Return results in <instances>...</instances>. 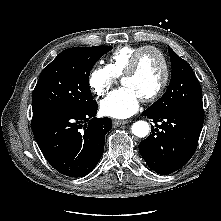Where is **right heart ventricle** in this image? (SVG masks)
<instances>
[{
	"mask_svg": "<svg viewBox=\"0 0 221 221\" xmlns=\"http://www.w3.org/2000/svg\"><path fill=\"white\" fill-rule=\"evenodd\" d=\"M145 46H121L108 59L106 67L115 77H120L128 67L134 54Z\"/></svg>",
	"mask_w": 221,
	"mask_h": 221,
	"instance_id": "obj_1",
	"label": "right heart ventricle"
}]
</instances>
